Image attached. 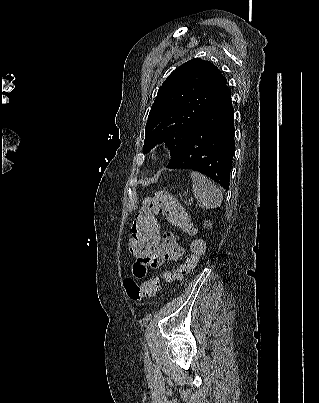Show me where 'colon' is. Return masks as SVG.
<instances>
[{
    "instance_id": "5ec220e1",
    "label": "colon",
    "mask_w": 319,
    "mask_h": 403,
    "mask_svg": "<svg viewBox=\"0 0 319 403\" xmlns=\"http://www.w3.org/2000/svg\"><path fill=\"white\" fill-rule=\"evenodd\" d=\"M158 213L165 216L172 224L189 228L184 217V209L174 196L160 191L152 197H146L142 202L141 210L132 219V231L126 242L127 257L130 258L131 264L137 265L136 261L143 253H147L150 258L153 247L159 246L163 222L154 218ZM204 249L205 245L201 241L192 244V253L186 260L185 270H190L195 266ZM128 277L126 276L124 279V287L129 301H140L152 297L160 288V278L158 277L151 278L142 284L140 281L130 283ZM163 277L166 280H171L172 274L166 272Z\"/></svg>"
}]
</instances>
